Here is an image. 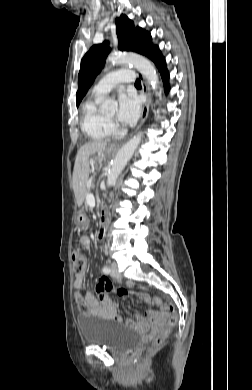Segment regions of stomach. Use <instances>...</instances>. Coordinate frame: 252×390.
I'll list each match as a JSON object with an SVG mask.
<instances>
[{"mask_svg":"<svg viewBox=\"0 0 252 390\" xmlns=\"http://www.w3.org/2000/svg\"><path fill=\"white\" fill-rule=\"evenodd\" d=\"M106 152L108 154H110L112 152V149L108 148L106 150ZM97 159H98L97 157L94 158V160H97ZM76 221H77V226L79 228H84L87 225V218H86V215L83 212H79L78 213Z\"/></svg>","mask_w":252,"mask_h":390,"instance_id":"1","label":"stomach"}]
</instances>
